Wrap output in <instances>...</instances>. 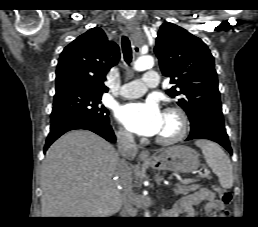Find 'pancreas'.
<instances>
[{
    "label": "pancreas",
    "instance_id": "1",
    "mask_svg": "<svg viewBox=\"0 0 258 227\" xmlns=\"http://www.w3.org/2000/svg\"><path fill=\"white\" fill-rule=\"evenodd\" d=\"M200 187H201V185H199V184L191 183L188 185H181V186L177 187L176 189H174V191H175L176 195H179V194L186 195L190 192L198 190Z\"/></svg>",
    "mask_w": 258,
    "mask_h": 227
}]
</instances>
